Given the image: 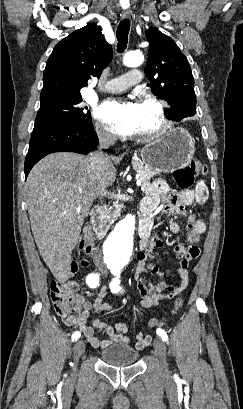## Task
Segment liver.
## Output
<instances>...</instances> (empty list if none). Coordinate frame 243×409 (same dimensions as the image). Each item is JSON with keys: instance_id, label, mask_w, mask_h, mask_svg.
<instances>
[{"instance_id": "6515ba94", "label": "liver", "mask_w": 243, "mask_h": 409, "mask_svg": "<svg viewBox=\"0 0 243 409\" xmlns=\"http://www.w3.org/2000/svg\"><path fill=\"white\" fill-rule=\"evenodd\" d=\"M116 172L112 160L106 158L101 186L92 175L88 156L57 152L41 159L29 173L25 189L32 233L59 282L69 278L72 250L93 200L115 182Z\"/></svg>"}]
</instances>
